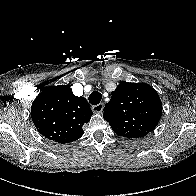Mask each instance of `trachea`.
<instances>
[{"label":"trachea","instance_id":"obj_1","mask_svg":"<svg viewBox=\"0 0 196 196\" xmlns=\"http://www.w3.org/2000/svg\"><path fill=\"white\" fill-rule=\"evenodd\" d=\"M102 99V95L100 92L98 91H94L90 94L89 96V102L92 104V105H97L100 103Z\"/></svg>","mask_w":196,"mask_h":196}]
</instances>
